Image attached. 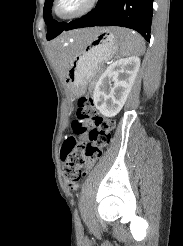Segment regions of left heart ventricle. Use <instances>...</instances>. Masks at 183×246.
Wrapping results in <instances>:
<instances>
[{
    "label": "left heart ventricle",
    "instance_id": "b2bd125f",
    "mask_svg": "<svg viewBox=\"0 0 183 246\" xmlns=\"http://www.w3.org/2000/svg\"><path fill=\"white\" fill-rule=\"evenodd\" d=\"M84 0H62L59 10L62 13H68L79 8Z\"/></svg>",
    "mask_w": 183,
    "mask_h": 246
}]
</instances>
